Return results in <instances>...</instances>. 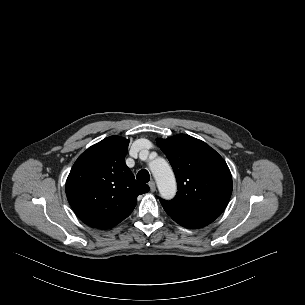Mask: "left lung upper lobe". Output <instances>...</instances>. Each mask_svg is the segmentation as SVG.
I'll return each instance as SVG.
<instances>
[{
  "instance_id": "5c2ea615",
  "label": "left lung upper lobe",
  "mask_w": 305,
  "mask_h": 305,
  "mask_svg": "<svg viewBox=\"0 0 305 305\" xmlns=\"http://www.w3.org/2000/svg\"><path fill=\"white\" fill-rule=\"evenodd\" d=\"M177 179L174 199H161L169 215L216 219L232 193V176L224 159L205 142L179 134L158 139Z\"/></svg>"
}]
</instances>
